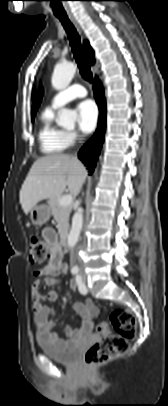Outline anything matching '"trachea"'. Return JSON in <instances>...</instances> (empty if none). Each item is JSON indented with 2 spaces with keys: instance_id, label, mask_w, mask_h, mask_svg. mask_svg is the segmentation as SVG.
Listing matches in <instances>:
<instances>
[{
  "instance_id": "obj_1",
  "label": "trachea",
  "mask_w": 168,
  "mask_h": 406,
  "mask_svg": "<svg viewBox=\"0 0 168 406\" xmlns=\"http://www.w3.org/2000/svg\"><path fill=\"white\" fill-rule=\"evenodd\" d=\"M58 19L62 23V25L68 35L70 46L72 48V52H73L74 58L76 60V63L78 65L81 76L85 80H87L91 83L92 82V73H91L90 67L88 65V62L86 60V57L84 56V52L82 50V45L80 42V36H79L78 32L76 31L74 25L68 18L58 17Z\"/></svg>"
}]
</instances>
